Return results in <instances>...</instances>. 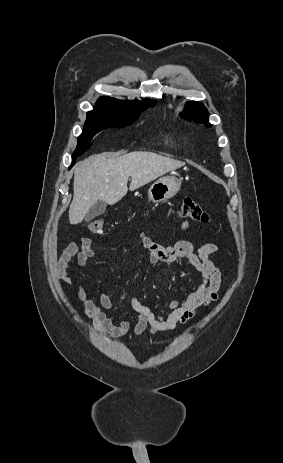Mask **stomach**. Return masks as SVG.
<instances>
[{
	"label": "stomach",
	"mask_w": 283,
	"mask_h": 463,
	"mask_svg": "<svg viewBox=\"0 0 283 463\" xmlns=\"http://www.w3.org/2000/svg\"><path fill=\"white\" fill-rule=\"evenodd\" d=\"M181 187V181L176 177H163L155 181L148 190L149 201L164 202L174 197Z\"/></svg>",
	"instance_id": "0dacf381"
}]
</instances>
